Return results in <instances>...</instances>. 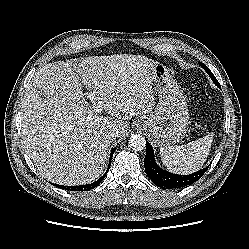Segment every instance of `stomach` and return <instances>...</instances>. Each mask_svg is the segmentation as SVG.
<instances>
[{"instance_id": "1", "label": "stomach", "mask_w": 249, "mask_h": 249, "mask_svg": "<svg viewBox=\"0 0 249 249\" xmlns=\"http://www.w3.org/2000/svg\"><path fill=\"white\" fill-rule=\"evenodd\" d=\"M153 78L159 102L154 112L144 116L138 127L146 129L159 147L181 142L189 125V110L179 85L168 69L159 63L154 66Z\"/></svg>"}]
</instances>
